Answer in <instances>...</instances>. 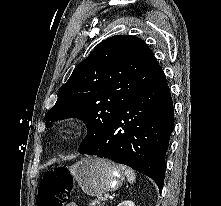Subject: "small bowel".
<instances>
[{
    "instance_id": "small-bowel-1",
    "label": "small bowel",
    "mask_w": 221,
    "mask_h": 206,
    "mask_svg": "<svg viewBox=\"0 0 221 206\" xmlns=\"http://www.w3.org/2000/svg\"><path fill=\"white\" fill-rule=\"evenodd\" d=\"M67 206H77L75 203H69Z\"/></svg>"
}]
</instances>
